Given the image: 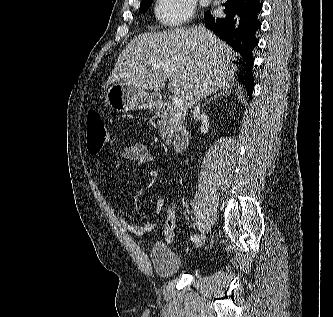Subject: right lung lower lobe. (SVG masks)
Wrapping results in <instances>:
<instances>
[{
  "mask_svg": "<svg viewBox=\"0 0 333 317\" xmlns=\"http://www.w3.org/2000/svg\"><path fill=\"white\" fill-rule=\"evenodd\" d=\"M224 5L226 16L215 18L207 11L205 25L241 54L237 79L251 97L254 89L252 50L258 44L255 33L261 27L257 16L262 4L259 0H227Z\"/></svg>",
  "mask_w": 333,
  "mask_h": 317,
  "instance_id": "obj_1",
  "label": "right lung lower lobe"
}]
</instances>
